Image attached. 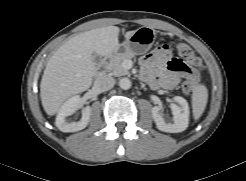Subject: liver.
I'll use <instances>...</instances> for the list:
<instances>
[{
    "label": "liver",
    "instance_id": "liver-1",
    "mask_svg": "<svg viewBox=\"0 0 246 181\" xmlns=\"http://www.w3.org/2000/svg\"><path fill=\"white\" fill-rule=\"evenodd\" d=\"M117 26H107L81 33L64 43L48 60L40 83L45 112L52 116L72 95L90 88L95 73L93 54L110 56L119 47ZM135 31L125 33L128 39Z\"/></svg>",
    "mask_w": 246,
    "mask_h": 181
}]
</instances>
